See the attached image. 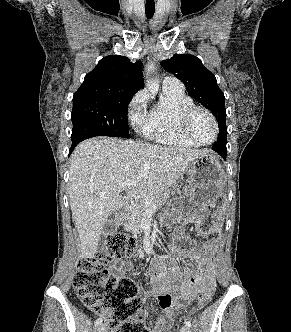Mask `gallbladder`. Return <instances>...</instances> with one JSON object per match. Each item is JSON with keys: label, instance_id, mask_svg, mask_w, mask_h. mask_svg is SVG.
<instances>
[{"label": "gallbladder", "instance_id": "gallbladder-1", "mask_svg": "<svg viewBox=\"0 0 291 332\" xmlns=\"http://www.w3.org/2000/svg\"><path fill=\"white\" fill-rule=\"evenodd\" d=\"M118 229V219L116 213L110 214L103 226L104 235H113Z\"/></svg>", "mask_w": 291, "mask_h": 332}]
</instances>
